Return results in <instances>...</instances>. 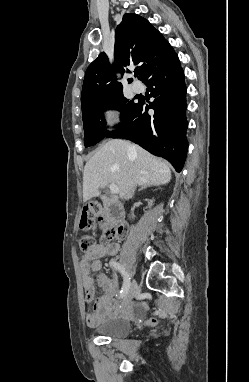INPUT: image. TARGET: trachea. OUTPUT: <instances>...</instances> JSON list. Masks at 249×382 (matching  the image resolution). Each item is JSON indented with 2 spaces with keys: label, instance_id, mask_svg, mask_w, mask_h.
Segmentation results:
<instances>
[{
  "label": "trachea",
  "instance_id": "obj_1",
  "mask_svg": "<svg viewBox=\"0 0 249 382\" xmlns=\"http://www.w3.org/2000/svg\"><path fill=\"white\" fill-rule=\"evenodd\" d=\"M139 74V71H135V75L137 76Z\"/></svg>",
  "mask_w": 249,
  "mask_h": 382
}]
</instances>
